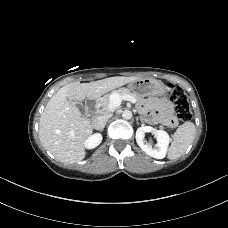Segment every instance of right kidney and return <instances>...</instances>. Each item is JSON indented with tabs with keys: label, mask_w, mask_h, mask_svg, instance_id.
<instances>
[{
	"label": "right kidney",
	"mask_w": 228,
	"mask_h": 228,
	"mask_svg": "<svg viewBox=\"0 0 228 228\" xmlns=\"http://www.w3.org/2000/svg\"><path fill=\"white\" fill-rule=\"evenodd\" d=\"M102 142V135L99 133L93 134L85 141V147L87 149H93Z\"/></svg>",
	"instance_id": "ca27d5eb"
}]
</instances>
